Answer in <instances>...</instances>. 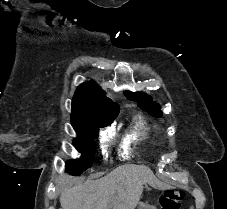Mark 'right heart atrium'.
I'll use <instances>...</instances> for the list:
<instances>
[{"instance_id": "right-heart-atrium-1", "label": "right heart atrium", "mask_w": 227, "mask_h": 209, "mask_svg": "<svg viewBox=\"0 0 227 209\" xmlns=\"http://www.w3.org/2000/svg\"><path fill=\"white\" fill-rule=\"evenodd\" d=\"M113 139V130L111 128H107L101 131L100 134V143L102 149L106 152L108 146L110 145Z\"/></svg>"}]
</instances>
